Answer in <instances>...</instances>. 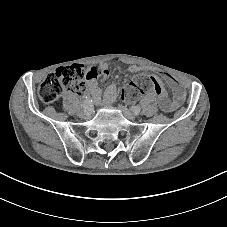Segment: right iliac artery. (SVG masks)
I'll list each match as a JSON object with an SVG mask.
<instances>
[{
	"instance_id": "1",
	"label": "right iliac artery",
	"mask_w": 227,
	"mask_h": 227,
	"mask_svg": "<svg viewBox=\"0 0 227 227\" xmlns=\"http://www.w3.org/2000/svg\"><path fill=\"white\" fill-rule=\"evenodd\" d=\"M93 104H92V100L90 99V97H86V99L83 102V108L85 113H90V109H92Z\"/></svg>"
}]
</instances>
